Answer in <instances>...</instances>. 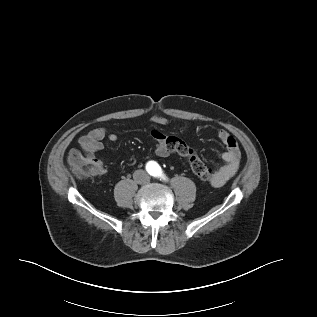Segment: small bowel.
<instances>
[{
  "mask_svg": "<svg viewBox=\"0 0 317 317\" xmlns=\"http://www.w3.org/2000/svg\"><path fill=\"white\" fill-rule=\"evenodd\" d=\"M151 121L157 125H167L168 119L160 114L155 113L151 117ZM152 135L156 140V154L160 157H168L172 154H179V151L184 150L188 145L180 138L166 137L159 130H153ZM218 138L225 146V151L221 154V159L224 164L217 170L210 182L213 187H220L232 178L237 172L241 152L237 140L225 130L218 133ZM107 139L115 142L118 136L114 133H109L103 127H96L91 129L87 134L79 139V150H72L69 154V162L72 164L77 157H83L95 162L97 166V174H105L106 169L94 160V154L104 148L103 141Z\"/></svg>",
  "mask_w": 317,
  "mask_h": 317,
  "instance_id": "obj_1",
  "label": "small bowel"
}]
</instances>
